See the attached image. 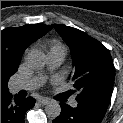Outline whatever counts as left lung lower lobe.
<instances>
[{"mask_svg": "<svg viewBox=\"0 0 123 123\" xmlns=\"http://www.w3.org/2000/svg\"><path fill=\"white\" fill-rule=\"evenodd\" d=\"M61 114L52 123H101L105 113L78 104L72 108L61 103Z\"/></svg>", "mask_w": 123, "mask_h": 123, "instance_id": "1", "label": "left lung lower lobe"}]
</instances>
